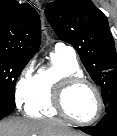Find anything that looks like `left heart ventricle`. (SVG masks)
Instances as JSON below:
<instances>
[{"label": "left heart ventricle", "mask_w": 117, "mask_h": 136, "mask_svg": "<svg viewBox=\"0 0 117 136\" xmlns=\"http://www.w3.org/2000/svg\"><path fill=\"white\" fill-rule=\"evenodd\" d=\"M68 108L77 119L89 120L97 113V98L88 86H79L69 95Z\"/></svg>", "instance_id": "obj_1"}]
</instances>
